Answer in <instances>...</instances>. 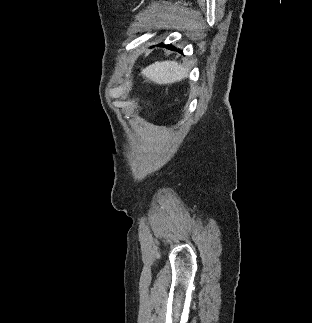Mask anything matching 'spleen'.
Returning <instances> with one entry per match:
<instances>
[{
  "instance_id": "1",
  "label": "spleen",
  "mask_w": 312,
  "mask_h": 323,
  "mask_svg": "<svg viewBox=\"0 0 312 323\" xmlns=\"http://www.w3.org/2000/svg\"><path fill=\"white\" fill-rule=\"evenodd\" d=\"M141 74L154 82V84H173V82H181L183 78H187L188 70L177 64V62H155L151 66H147L142 70Z\"/></svg>"
}]
</instances>
